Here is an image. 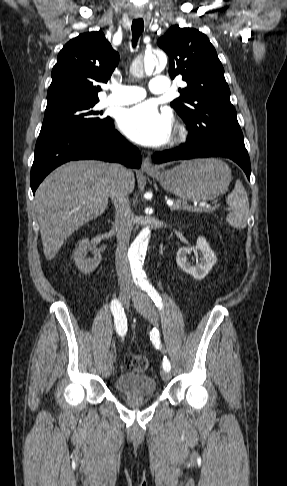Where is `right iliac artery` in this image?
Here are the masks:
<instances>
[{"label":"right iliac artery","mask_w":287,"mask_h":486,"mask_svg":"<svg viewBox=\"0 0 287 486\" xmlns=\"http://www.w3.org/2000/svg\"><path fill=\"white\" fill-rule=\"evenodd\" d=\"M111 310L114 316L115 326L118 334L123 337L127 331V319L121 303L114 299L111 302Z\"/></svg>","instance_id":"obj_1"}]
</instances>
